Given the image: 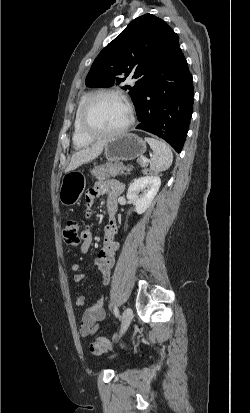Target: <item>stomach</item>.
Returning a JSON list of instances; mask_svg holds the SVG:
<instances>
[{
	"instance_id": "1",
	"label": "stomach",
	"mask_w": 250,
	"mask_h": 413,
	"mask_svg": "<svg viewBox=\"0 0 250 413\" xmlns=\"http://www.w3.org/2000/svg\"><path fill=\"white\" fill-rule=\"evenodd\" d=\"M146 151V142L131 133L106 140L104 155L109 161L133 160L142 157ZM86 181L80 172L71 171L63 176L59 190V199L65 206L76 204L84 192Z\"/></svg>"
}]
</instances>
